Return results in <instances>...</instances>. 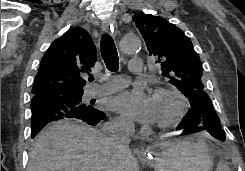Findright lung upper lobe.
Masks as SVG:
<instances>
[{
    "label": "right lung upper lobe",
    "instance_id": "obj_1",
    "mask_svg": "<svg viewBox=\"0 0 245 171\" xmlns=\"http://www.w3.org/2000/svg\"><path fill=\"white\" fill-rule=\"evenodd\" d=\"M97 51L89 33L75 27L54 40L41 59L32 93L83 94L84 72L91 71Z\"/></svg>",
    "mask_w": 245,
    "mask_h": 171
}]
</instances>
